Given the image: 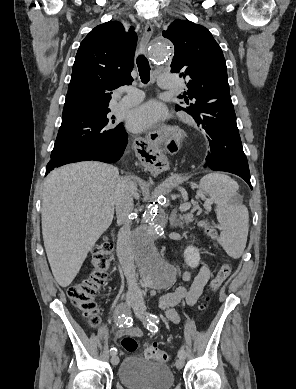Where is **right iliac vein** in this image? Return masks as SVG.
Returning <instances> with one entry per match:
<instances>
[{
    "instance_id": "obj_1",
    "label": "right iliac vein",
    "mask_w": 296,
    "mask_h": 389,
    "mask_svg": "<svg viewBox=\"0 0 296 389\" xmlns=\"http://www.w3.org/2000/svg\"><path fill=\"white\" fill-rule=\"evenodd\" d=\"M126 302H127V307L129 309L130 306H133L135 304L136 298L133 295H131V294H127ZM111 363L113 365H117L119 363V357L116 356V355L112 356Z\"/></svg>"
}]
</instances>
